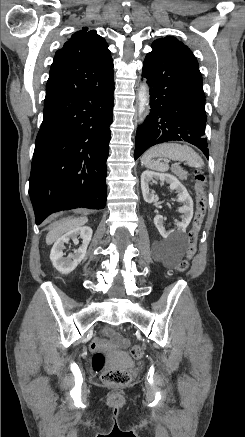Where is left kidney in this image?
I'll list each match as a JSON object with an SVG mask.
<instances>
[{"label": "left kidney", "instance_id": "left-kidney-1", "mask_svg": "<svg viewBox=\"0 0 245 437\" xmlns=\"http://www.w3.org/2000/svg\"><path fill=\"white\" fill-rule=\"evenodd\" d=\"M154 179L168 183L170 185V190H176L178 194L177 200L183 203V206L179 208V212L182 213V215L181 221L176 222V230H166L161 215H156L154 217V224L163 238L178 240L185 234L186 228L193 217V200L186 188L175 176L146 170L141 175V189L143 198L147 203H152L158 199L157 195L151 192L149 188L151 180Z\"/></svg>", "mask_w": 245, "mask_h": 437}]
</instances>
